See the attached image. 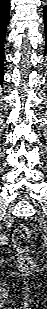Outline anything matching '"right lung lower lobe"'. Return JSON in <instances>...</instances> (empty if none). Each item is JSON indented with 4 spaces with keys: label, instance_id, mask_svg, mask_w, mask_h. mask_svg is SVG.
I'll use <instances>...</instances> for the list:
<instances>
[{
    "label": "right lung lower lobe",
    "instance_id": "right-lung-lower-lobe-1",
    "mask_svg": "<svg viewBox=\"0 0 47 309\" xmlns=\"http://www.w3.org/2000/svg\"><path fill=\"white\" fill-rule=\"evenodd\" d=\"M9 0H0V84L4 78V40L7 24L9 21Z\"/></svg>",
    "mask_w": 47,
    "mask_h": 309
}]
</instances>
